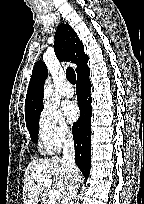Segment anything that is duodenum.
<instances>
[{"label": "duodenum", "mask_w": 144, "mask_h": 204, "mask_svg": "<svg viewBox=\"0 0 144 204\" xmlns=\"http://www.w3.org/2000/svg\"><path fill=\"white\" fill-rule=\"evenodd\" d=\"M37 204H42V202L41 201H38V203Z\"/></svg>", "instance_id": "1"}]
</instances>
